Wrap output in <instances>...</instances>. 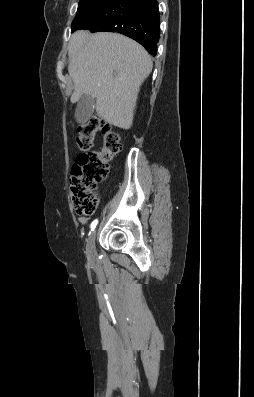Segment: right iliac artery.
Returning <instances> with one entry per match:
<instances>
[{
    "instance_id": "1",
    "label": "right iliac artery",
    "mask_w": 254,
    "mask_h": 397,
    "mask_svg": "<svg viewBox=\"0 0 254 397\" xmlns=\"http://www.w3.org/2000/svg\"><path fill=\"white\" fill-rule=\"evenodd\" d=\"M97 223H98V220H97V219L94 220V221L91 223V226H90V227H91V230H94V229H95Z\"/></svg>"
}]
</instances>
